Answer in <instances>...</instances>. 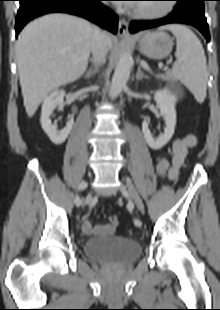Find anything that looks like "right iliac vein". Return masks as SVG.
<instances>
[{
	"instance_id": "1",
	"label": "right iliac vein",
	"mask_w": 220,
	"mask_h": 310,
	"mask_svg": "<svg viewBox=\"0 0 220 310\" xmlns=\"http://www.w3.org/2000/svg\"><path fill=\"white\" fill-rule=\"evenodd\" d=\"M91 199H92V195H91V193H89V194L87 195V197H86V201H87V202H90Z\"/></svg>"
}]
</instances>
